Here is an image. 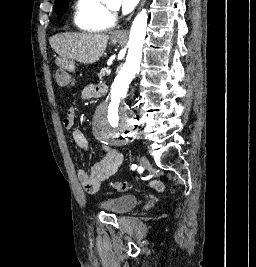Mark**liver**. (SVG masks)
I'll use <instances>...</instances> for the list:
<instances>
[{"instance_id":"6515ba94","label":"liver","mask_w":256,"mask_h":267,"mask_svg":"<svg viewBox=\"0 0 256 267\" xmlns=\"http://www.w3.org/2000/svg\"><path fill=\"white\" fill-rule=\"evenodd\" d=\"M119 32H112L117 36ZM109 36L107 34H78L66 32L49 38L50 46L62 60H76L81 64H94L103 56Z\"/></svg>"}]
</instances>
